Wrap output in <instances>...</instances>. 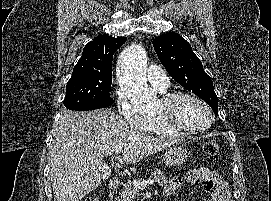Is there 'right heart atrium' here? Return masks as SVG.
Wrapping results in <instances>:
<instances>
[{
	"label": "right heart atrium",
	"instance_id": "d8ad5b80",
	"mask_svg": "<svg viewBox=\"0 0 271 201\" xmlns=\"http://www.w3.org/2000/svg\"><path fill=\"white\" fill-rule=\"evenodd\" d=\"M116 103L123 120L134 127L144 128L149 122V117L141 114L123 91H118Z\"/></svg>",
	"mask_w": 271,
	"mask_h": 201
}]
</instances>
